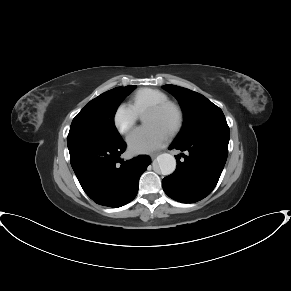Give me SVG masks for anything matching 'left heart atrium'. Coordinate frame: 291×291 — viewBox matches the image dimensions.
Wrapping results in <instances>:
<instances>
[{"instance_id": "39dd6f15", "label": "left heart atrium", "mask_w": 291, "mask_h": 291, "mask_svg": "<svg viewBox=\"0 0 291 291\" xmlns=\"http://www.w3.org/2000/svg\"><path fill=\"white\" fill-rule=\"evenodd\" d=\"M127 141L131 152L149 153L162 148L169 141V133L157 125L145 124L134 130Z\"/></svg>"}]
</instances>
